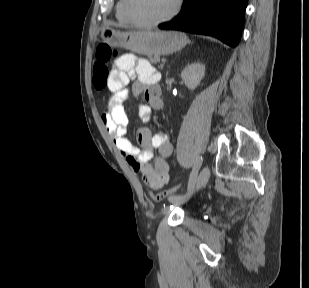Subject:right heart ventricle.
<instances>
[{
    "instance_id": "1",
    "label": "right heart ventricle",
    "mask_w": 309,
    "mask_h": 288,
    "mask_svg": "<svg viewBox=\"0 0 309 288\" xmlns=\"http://www.w3.org/2000/svg\"><path fill=\"white\" fill-rule=\"evenodd\" d=\"M123 5H124V0H118L116 7H115V15L117 20L122 23V24H130V22L128 21V19L126 18L125 14H124V9H123Z\"/></svg>"
}]
</instances>
